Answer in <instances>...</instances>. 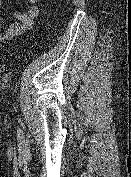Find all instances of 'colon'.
<instances>
[{"mask_svg": "<svg viewBox=\"0 0 131 177\" xmlns=\"http://www.w3.org/2000/svg\"><path fill=\"white\" fill-rule=\"evenodd\" d=\"M5 69V65L3 63H0V72H2Z\"/></svg>", "mask_w": 131, "mask_h": 177, "instance_id": "obj_1", "label": "colon"}]
</instances>
